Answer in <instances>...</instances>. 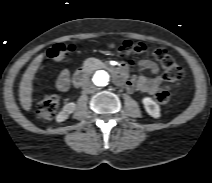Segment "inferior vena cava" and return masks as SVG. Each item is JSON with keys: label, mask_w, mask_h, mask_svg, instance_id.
I'll use <instances>...</instances> for the list:
<instances>
[{"label": "inferior vena cava", "mask_w": 212, "mask_h": 183, "mask_svg": "<svg viewBox=\"0 0 212 183\" xmlns=\"http://www.w3.org/2000/svg\"><path fill=\"white\" fill-rule=\"evenodd\" d=\"M96 89L97 88L95 87V85L91 82H87L83 86V91L84 93H87V94L94 93Z\"/></svg>", "instance_id": "602c4592"}]
</instances>
